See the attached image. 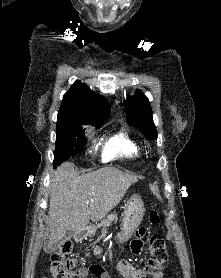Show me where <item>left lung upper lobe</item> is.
Returning a JSON list of instances; mask_svg holds the SVG:
<instances>
[{
	"label": "left lung upper lobe",
	"mask_w": 221,
	"mask_h": 278,
	"mask_svg": "<svg viewBox=\"0 0 221 278\" xmlns=\"http://www.w3.org/2000/svg\"><path fill=\"white\" fill-rule=\"evenodd\" d=\"M127 121L142 131L149 139H156L157 133L152 119L149 100L139 91L128 97L124 103Z\"/></svg>",
	"instance_id": "left-lung-upper-lobe-1"
}]
</instances>
